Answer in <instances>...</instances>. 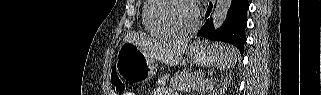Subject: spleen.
I'll return each mask as SVG.
<instances>
[{"label": "spleen", "instance_id": "3e777b00", "mask_svg": "<svg viewBox=\"0 0 321 95\" xmlns=\"http://www.w3.org/2000/svg\"><path fill=\"white\" fill-rule=\"evenodd\" d=\"M237 51L234 47L228 46L224 53H222L218 60L216 61V65L219 69L230 68L236 63Z\"/></svg>", "mask_w": 321, "mask_h": 95}]
</instances>
